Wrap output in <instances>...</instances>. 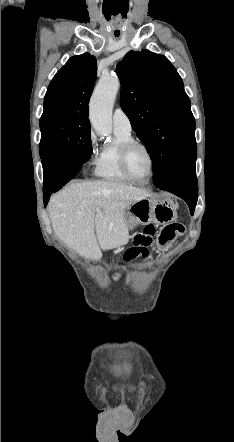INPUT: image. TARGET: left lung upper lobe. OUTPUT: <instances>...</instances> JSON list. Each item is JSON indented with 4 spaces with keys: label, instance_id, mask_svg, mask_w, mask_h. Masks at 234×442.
Returning <instances> with one entry per match:
<instances>
[{
    "label": "left lung upper lobe",
    "instance_id": "obj_1",
    "mask_svg": "<svg viewBox=\"0 0 234 442\" xmlns=\"http://www.w3.org/2000/svg\"><path fill=\"white\" fill-rule=\"evenodd\" d=\"M116 73L121 107L151 156L158 187L196 144L190 100L177 70L163 55L130 51Z\"/></svg>",
    "mask_w": 234,
    "mask_h": 442
}]
</instances>
